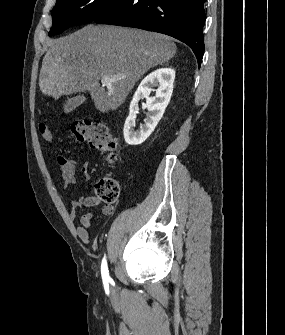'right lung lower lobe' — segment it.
Masks as SVG:
<instances>
[{
  "mask_svg": "<svg viewBox=\"0 0 285 335\" xmlns=\"http://www.w3.org/2000/svg\"><path fill=\"white\" fill-rule=\"evenodd\" d=\"M206 0H120L92 21L150 30L187 44L200 67Z\"/></svg>",
  "mask_w": 285,
  "mask_h": 335,
  "instance_id": "right-lung-lower-lobe-1",
  "label": "right lung lower lobe"
}]
</instances>
